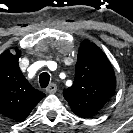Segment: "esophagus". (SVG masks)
Returning a JSON list of instances; mask_svg holds the SVG:
<instances>
[{
  "label": "esophagus",
  "mask_w": 133,
  "mask_h": 133,
  "mask_svg": "<svg viewBox=\"0 0 133 133\" xmlns=\"http://www.w3.org/2000/svg\"><path fill=\"white\" fill-rule=\"evenodd\" d=\"M57 91V85L55 83H51L47 88L46 92L47 93H55Z\"/></svg>",
  "instance_id": "esophagus-1"
}]
</instances>
